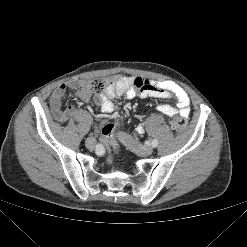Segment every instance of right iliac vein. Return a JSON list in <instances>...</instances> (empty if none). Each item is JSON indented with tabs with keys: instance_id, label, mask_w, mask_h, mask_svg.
I'll return each instance as SVG.
<instances>
[{
	"instance_id": "obj_1",
	"label": "right iliac vein",
	"mask_w": 247,
	"mask_h": 247,
	"mask_svg": "<svg viewBox=\"0 0 247 247\" xmlns=\"http://www.w3.org/2000/svg\"><path fill=\"white\" fill-rule=\"evenodd\" d=\"M85 145L88 149H93L95 147V140L93 138H88Z\"/></svg>"
}]
</instances>
